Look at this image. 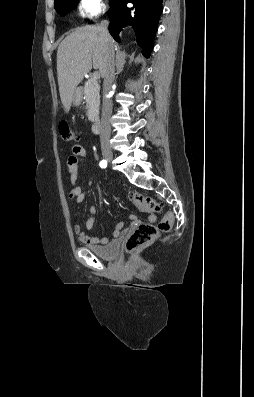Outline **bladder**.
Wrapping results in <instances>:
<instances>
[{"label": "bladder", "instance_id": "bladder-1", "mask_svg": "<svg viewBox=\"0 0 254 397\" xmlns=\"http://www.w3.org/2000/svg\"><path fill=\"white\" fill-rule=\"evenodd\" d=\"M91 252H93L96 256L103 259H114L120 250V242L112 241L106 245L102 246H89L88 247Z\"/></svg>", "mask_w": 254, "mask_h": 397}]
</instances>
